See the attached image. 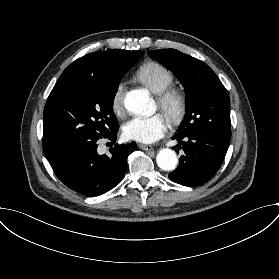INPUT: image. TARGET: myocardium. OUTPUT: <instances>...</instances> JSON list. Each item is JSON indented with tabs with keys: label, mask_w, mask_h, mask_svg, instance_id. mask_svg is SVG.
I'll use <instances>...</instances> for the list:
<instances>
[{
	"label": "myocardium",
	"mask_w": 279,
	"mask_h": 279,
	"mask_svg": "<svg viewBox=\"0 0 279 279\" xmlns=\"http://www.w3.org/2000/svg\"><path fill=\"white\" fill-rule=\"evenodd\" d=\"M157 102L170 124L176 126L181 123L187 112V99L181 89H165L157 94Z\"/></svg>",
	"instance_id": "obj_1"
}]
</instances>
